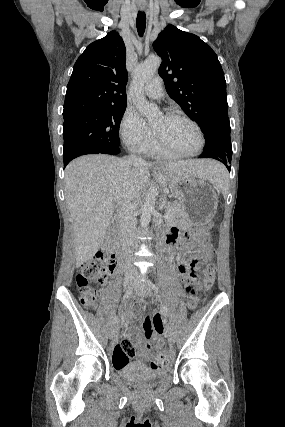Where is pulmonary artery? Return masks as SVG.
<instances>
[{"instance_id":"e3ab8cb5","label":"pulmonary artery","mask_w":285,"mask_h":427,"mask_svg":"<svg viewBox=\"0 0 285 427\" xmlns=\"http://www.w3.org/2000/svg\"><path fill=\"white\" fill-rule=\"evenodd\" d=\"M145 94L151 99H161L164 96L162 87V79L155 76L150 82L145 85Z\"/></svg>"}]
</instances>
